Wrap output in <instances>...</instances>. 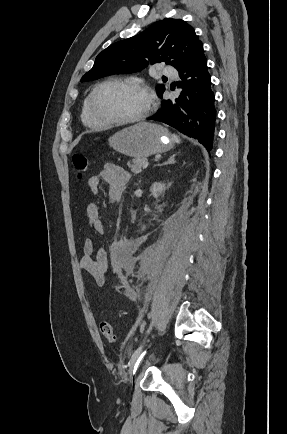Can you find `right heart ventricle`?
<instances>
[{"label":"right heart ventricle","mask_w":287,"mask_h":434,"mask_svg":"<svg viewBox=\"0 0 287 434\" xmlns=\"http://www.w3.org/2000/svg\"><path fill=\"white\" fill-rule=\"evenodd\" d=\"M88 97L87 96L82 104L81 108V120L82 122L89 127H101L102 125L96 121L89 113L88 110Z\"/></svg>","instance_id":"right-heart-ventricle-1"}]
</instances>
